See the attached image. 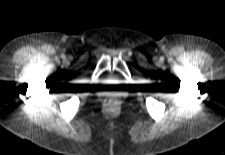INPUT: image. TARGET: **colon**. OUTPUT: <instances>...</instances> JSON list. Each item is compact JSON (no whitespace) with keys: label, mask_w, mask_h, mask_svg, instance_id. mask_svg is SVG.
Here are the masks:
<instances>
[{"label":"colon","mask_w":225,"mask_h":155,"mask_svg":"<svg viewBox=\"0 0 225 155\" xmlns=\"http://www.w3.org/2000/svg\"><path fill=\"white\" fill-rule=\"evenodd\" d=\"M107 105L109 107H115L117 105V102L115 100H108Z\"/></svg>","instance_id":"obj_1"}]
</instances>
